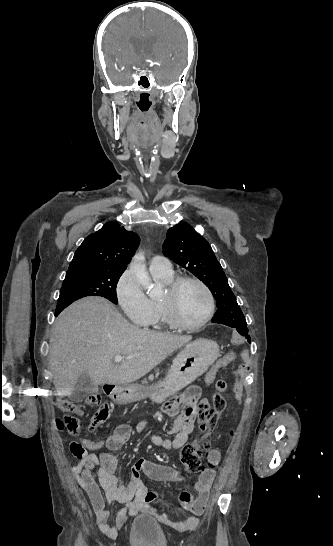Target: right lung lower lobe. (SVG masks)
Returning <instances> with one entry per match:
<instances>
[{
    "label": "right lung lower lobe",
    "mask_w": 333,
    "mask_h": 546,
    "mask_svg": "<svg viewBox=\"0 0 333 546\" xmlns=\"http://www.w3.org/2000/svg\"><path fill=\"white\" fill-rule=\"evenodd\" d=\"M61 311H62V310H57V311L55 312V316H58L59 313H60Z\"/></svg>",
    "instance_id": "obj_1"
}]
</instances>
